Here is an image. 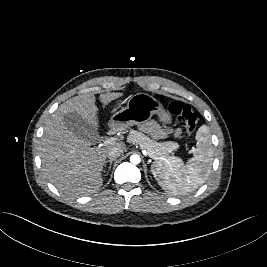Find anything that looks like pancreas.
Instances as JSON below:
<instances>
[{
	"instance_id": "1",
	"label": "pancreas",
	"mask_w": 267,
	"mask_h": 267,
	"mask_svg": "<svg viewBox=\"0 0 267 267\" xmlns=\"http://www.w3.org/2000/svg\"><path fill=\"white\" fill-rule=\"evenodd\" d=\"M128 141L133 144H138L142 150L151 153L154 159L168 158L169 153L178 147L176 142H157L136 130L130 131Z\"/></svg>"
}]
</instances>
